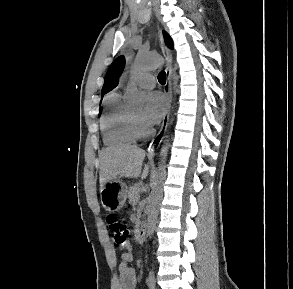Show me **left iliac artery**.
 <instances>
[{"label":"left iliac artery","mask_w":293,"mask_h":289,"mask_svg":"<svg viewBox=\"0 0 293 289\" xmlns=\"http://www.w3.org/2000/svg\"><path fill=\"white\" fill-rule=\"evenodd\" d=\"M155 285H156V280H155L154 271L150 270L149 276H148L149 289H155Z\"/></svg>","instance_id":"44dca946"}]
</instances>
